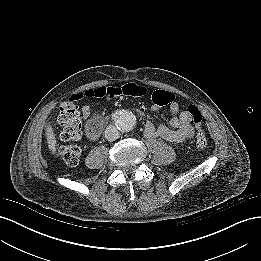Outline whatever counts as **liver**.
<instances>
[{
    "mask_svg": "<svg viewBox=\"0 0 261 261\" xmlns=\"http://www.w3.org/2000/svg\"><path fill=\"white\" fill-rule=\"evenodd\" d=\"M46 138H47V144L48 148L51 151L52 154H55L56 152V138L53 131V128L51 125L46 126Z\"/></svg>",
    "mask_w": 261,
    "mask_h": 261,
    "instance_id": "obj_1",
    "label": "liver"
}]
</instances>
